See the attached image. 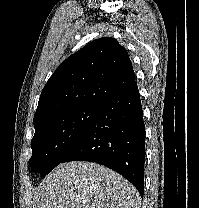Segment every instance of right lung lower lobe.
<instances>
[{
	"mask_svg": "<svg viewBox=\"0 0 199 208\" xmlns=\"http://www.w3.org/2000/svg\"><path fill=\"white\" fill-rule=\"evenodd\" d=\"M90 161L115 170L144 194L145 124L137 83L99 105L61 161Z\"/></svg>",
	"mask_w": 199,
	"mask_h": 208,
	"instance_id": "1",
	"label": "right lung lower lobe"
}]
</instances>
